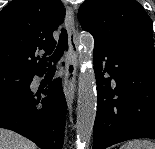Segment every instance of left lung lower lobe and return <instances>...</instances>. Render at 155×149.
<instances>
[{
	"instance_id": "left-lung-lower-lobe-1",
	"label": "left lung lower lobe",
	"mask_w": 155,
	"mask_h": 149,
	"mask_svg": "<svg viewBox=\"0 0 155 149\" xmlns=\"http://www.w3.org/2000/svg\"><path fill=\"white\" fill-rule=\"evenodd\" d=\"M93 57L98 84L93 149L136 138L155 139L154 46H94ZM104 73L111 77L104 78Z\"/></svg>"
}]
</instances>
